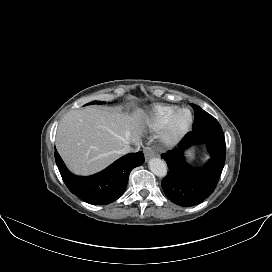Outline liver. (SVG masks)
I'll return each instance as SVG.
<instances>
[{
	"mask_svg": "<svg viewBox=\"0 0 272 272\" xmlns=\"http://www.w3.org/2000/svg\"><path fill=\"white\" fill-rule=\"evenodd\" d=\"M143 116L142 110L124 114L91 106L69 111L57 129V150L71 171L93 174L117 160L125 145L140 142Z\"/></svg>",
	"mask_w": 272,
	"mask_h": 272,
	"instance_id": "6515ba94",
	"label": "liver"
}]
</instances>
